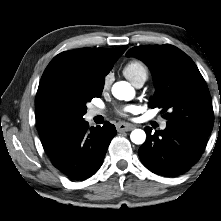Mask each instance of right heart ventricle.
I'll list each match as a JSON object with an SVG mask.
<instances>
[{"instance_id": "obj_1", "label": "right heart ventricle", "mask_w": 221, "mask_h": 221, "mask_svg": "<svg viewBox=\"0 0 221 221\" xmlns=\"http://www.w3.org/2000/svg\"><path fill=\"white\" fill-rule=\"evenodd\" d=\"M123 73L132 83L140 78H147L148 75L147 68L138 61L127 63L123 69Z\"/></svg>"}]
</instances>
